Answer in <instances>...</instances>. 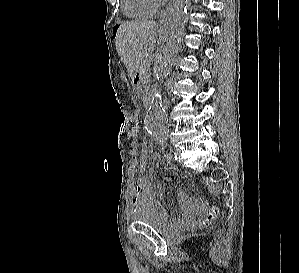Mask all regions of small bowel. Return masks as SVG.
Listing matches in <instances>:
<instances>
[{
	"mask_svg": "<svg viewBox=\"0 0 299 273\" xmlns=\"http://www.w3.org/2000/svg\"><path fill=\"white\" fill-rule=\"evenodd\" d=\"M148 162V149H142L140 153V160L136 168L142 170L146 167ZM173 177H169V180H173ZM179 197L182 202V214L185 219L193 220L199 216L202 212V204L193 196L189 195L184 190L178 191ZM165 200V192L161 185L157 189V202H155L154 196L151 191L150 182L147 178H140L136 183V190L133 197V203L135 210L143 208H150L156 210L163 218L168 217L167 210L163 206Z\"/></svg>",
	"mask_w": 299,
	"mask_h": 273,
	"instance_id": "obj_1",
	"label": "small bowel"
}]
</instances>
